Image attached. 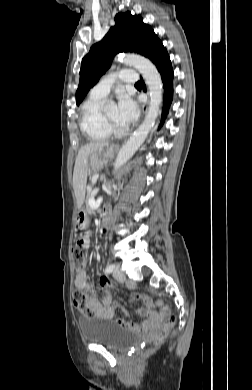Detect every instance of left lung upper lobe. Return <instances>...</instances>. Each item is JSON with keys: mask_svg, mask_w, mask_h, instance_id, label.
<instances>
[{"mask_svg": "<svg viewBox=\"0 0 252 390\" xmlns=\"http://www.w3.org/2000/svg\"><path fill=\"white\" fill-rule=\"evenodd\" d=\"M159 41L153 29L144 24L140 16H133L130 12L118 13L115 16V25L82 59L80 81L76 92L77 105L110 68L116 54L134 52L148 58L152 48Z\"/></svg>", "mask_w": 252, "mask_h": 390, "instance_id": "1", "label": "left lung upper lobe"}]
</instances>
